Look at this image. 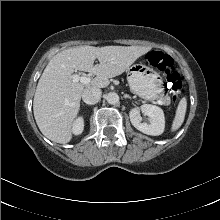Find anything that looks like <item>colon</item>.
<instances>
[{"mask_svg":"<svg viewBox=\"0 0 220 220\" xmlns=\"http://www.w3.org/2000/svg\"><path fill=\"white\" fill-rule=\"evenodd\" d=\"M146 63L166 74V85L171 98L177 102L182 94L183 84L178 71L174 68V61L171 56L161 51L152 50L145 56Z\"/></svg>","mask_w":220,"mask_h":220,"instance_id":"obj_1","label":"colon"}]
</instances>
